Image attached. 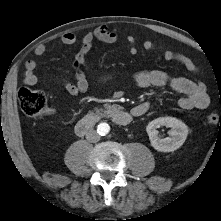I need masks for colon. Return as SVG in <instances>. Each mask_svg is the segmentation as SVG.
I'll use <instances>...</instances> for the list:
<instances>
[{"instance_id": "1", "label": "colon", "mask_w": 221, "mask_h": 221, "mask_svg": "<svg viewBox=\"0 0 221 221\" xmlns=\"http://www.w3.org/2000/svg\"><path fill=\"white\" fill-rule=\"evenodd\" d=\"M18 102L22 112L35 119H42L50 110L48 99L41 91L21 88L18 93ZM206 122L211 126L221 124V115L217 112H210L206 116Z\"/></svg>"}]
</instances>
